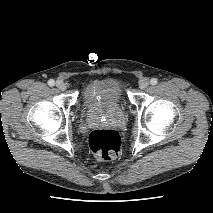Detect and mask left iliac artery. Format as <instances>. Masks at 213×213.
Wrapping results in <instances>:
<instances>
[{
    "mask_svg": "<svg viewBox=\"0 0 213 213\" xmlns=\"http://www.w3.org/2000/svg\"><path fill=\"white\" fill-rule=\"evenodd\" d=\"M157 79L156 78H152L151 80H150V83L152 84V85H156L157 84Z\"/></svg>",
    "mask_w": 213,
    "mask_h": 213,
    "instance_id": "44dca946",
    "label": "left iliac artery"
}]
</instances>
